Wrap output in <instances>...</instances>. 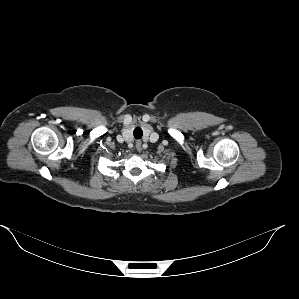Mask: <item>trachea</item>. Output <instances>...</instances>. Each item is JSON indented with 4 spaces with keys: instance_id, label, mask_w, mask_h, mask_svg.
<instances>
[{
    "instance_id": "obj_1",
    "label": "trachea",
    "mask_w": 299,
    "mask_h": 299,
    "mask_svg": "<svg viewBox=\"0 0 299 299\" xmlns=\"http://www.w3.org/2000/svg\"><path fill=\"white\" fill-rule=\"evenodd\" d=\"M133 135L136 139L142 138V135H143L142 129L140 127H136L133 131Z\"/></svg>"
}]
</instances>
